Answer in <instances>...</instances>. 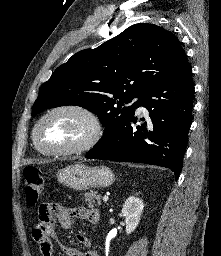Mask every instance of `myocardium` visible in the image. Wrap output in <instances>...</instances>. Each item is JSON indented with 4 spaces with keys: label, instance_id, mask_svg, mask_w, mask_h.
<instances>
[{
    "label": "myocardium",
    "instance_id": "obj_1",
    "mask_svg": "<svg viewBox=\"0 0 221 256\" xmlns=\"http://www.w3.org/2000/svg\"><path fill=\"white\" fill-rule=\"evenodd\" d=\"M62 111H73L84 116L90 124V128H91L90 133L83 142H81L76 146L69 147V148H61V149L47 148L43 146L39 140V129L42 123L47 118H49L51 115L57 112H62ZM103 135H104V125L102 123V120L98 116V114L94 112L92 109L88 108L87 106L71 103V104H62V105L55 106L50 110H48L44 115H42L34 126L32 138H33L34 145L42 153H45L48 155L66 156V155L80 154V153L89 151L90 149H92L94 146L98 144V142L101 140Z\"/></svg>",
    "mask_w": 221,
    "mask_h": 256
}]
</instances>
